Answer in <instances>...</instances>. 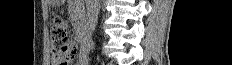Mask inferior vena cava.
<instances>
[{
    "mask_svg": "<svg viewBox=\"0 0 232 65\" xmlns=\"http://www.w3.org/2000/svg\"><path fill=\"white\" fill-rule=\"evenodd\" d=\"M88 16V26L91 30H94L97 23V18L100 10L99 0H85Z\"/></svg>",
    "mask_w": 232,
    "mask_h": 65,
    "instance_id": "inferior-vena-cava-1",
    "label": "inferior vena cava"
}]
</instances>
